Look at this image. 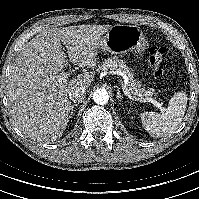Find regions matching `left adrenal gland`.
I'll return each instance as SVG.
<instances>
[{
    "mask_svg": "<svg viewBox=\"0 0 199 199\" xmlns=\"http://www.w3.org/2000/svg\"><path fill=\"white\" fill-rule=\"evenodd\" d=\"M116 97H117L118 101H121L122 97H121V93H120V90H119L118 87H117V95H116Z\"/></svg>",
    "mask_w": 199,
    "mask_h": 199,
    "instance_id": "a2214340",
    "label": "left adrenal gland"
}]
</instances>
